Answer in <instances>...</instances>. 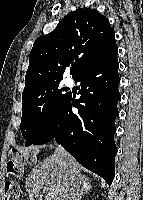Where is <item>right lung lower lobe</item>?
Here are the masks:
<instances>
[{"label": "right lung lower lobe", "instance_id": "98d812e1", "mask_svg": "<svg viewBox=\"0 0 143 200\" xmlns=\"http://www.w3.org/2000/svg\"><path fill=\"white\" fill-rule=\"evenodd\" d=\"M118 48L87 65L75 78L81 97L68 95L34 145L53 139L61 144L85 168L103 177L111 185L115 176L117 148L113 139L114 120L119 114ZM76 107L78 113H73Z\"/></svg>", "mask_w": 143, "mask_h": 200}]
</instances>
